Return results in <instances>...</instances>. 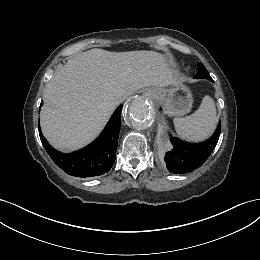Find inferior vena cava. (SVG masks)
Listing matches in <instances>:
<instances>
[{
    "label": "inferior vena cava",
    "mask_w": 260,
    "mask_h": 260,
    "mask_svg": "<svg viewBox=\"0 0 260 260\" xmlns=\"http://www.w3.org/2000/svg\"><path fill=\"white\" fill-rule=\"evenodd\" d=\"M125 99V97H117L115 100H114V103L116 104V105H118L119 103H121L123 100Z\"/></svg>",
    "instance_id": "1"
}]
</instances>
